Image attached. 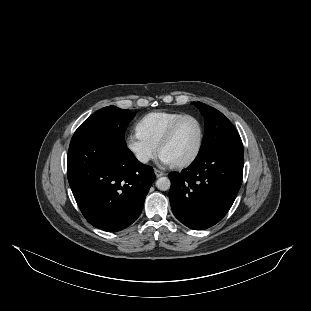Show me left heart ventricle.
<instances>
[{"label": "left heart ventricle", "mask_w": 311, "mask_h": 311, "mask_svg": "<svg viewBox=\"0 0 311 311\" xmlns=\"http://www.w3.org/2000/svg\"><path fill=\"white\" fill-rule=\"evenodd\" d=\"M201 137V127L194 118L186 119L179 127L173 141L161 152L170 165L185 162L195 154Z\"/></svg>", "instance_id": "obj_1"}]
</instances>
